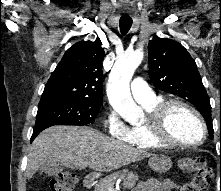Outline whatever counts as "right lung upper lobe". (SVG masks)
Segmentation results:
<instances>
[{
  "instance_id": "obj_1",
  "label": "right lung upper lobe",
  "mask_w": 221,
  "mask_h": 191,
  "mask_svg": "<svg viewBox=\"0 0 221 191\" xmlns=\"http://www.w3.org/2000/svg\"><path fill=\"white\" fill-rule=\"evenodd\" d=\"M99 41L75 43L64 54L46 83L40 103L63 100L103 101L102 60Z\"/></svg>"
}]
</instances>
